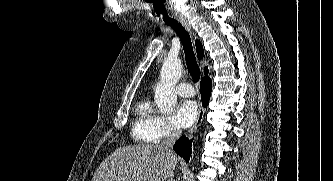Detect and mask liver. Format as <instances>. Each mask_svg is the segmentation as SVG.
<instances>
[{
    "instance_id": "6515ba94",
    "label": "liver",
    "mask_w": 333,
    "mask_h": 181,
    "mask_svg": "<svg viewBox=\"0 0 333 181\" xmlns=\"http://www.w3.org/2000/svg\"><path fill=\"white\" fill-rule=\"evenodd\" d=\"M177 157L161 145L117 148L96 170L92 181H164Z\"/></svg>"
}]
</instances>
